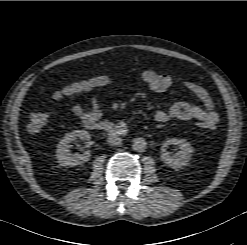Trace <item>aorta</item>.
<instances>
[{
	"label": "aorta",
	"mask_w": 247,
	"mask_h": 245,
	"mask_svg": "<svg viewBox=\"0 0 247 245\" xmlns=\"http://www.w3.org/2000/svg\"><path fill=\"white\" fill-rule=\"evenodd\" d=\"M147 143L144 138L137 137L133 139L132 148L137 152H142L146 149Z\"/></svg>",
	"instance_id": "aorta-1"
}]
</instances>
